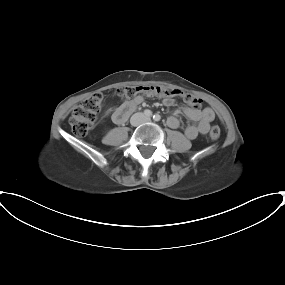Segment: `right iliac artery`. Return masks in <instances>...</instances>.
<instances>
[{
	"mask_svg": "<svg viewBox=\"0 0 285 285\" xmlns=\"http://www.w3.org/2000/svg\"><path fill=\"white\" fill-rule=\"evenodd\" d=\"M144 115L147 116V117H150L152 116V112L148 109L144 110Z\"/></svg>",
	"mask_w": 285,
	"mask_h": 285,
	"instance_id": "obj_1",
	"label": "right iliac artery"
}]
</instances>
